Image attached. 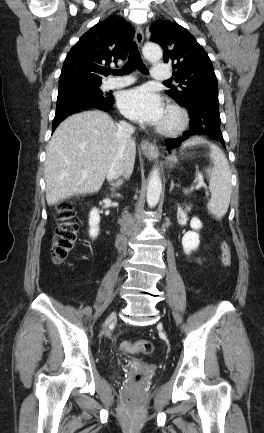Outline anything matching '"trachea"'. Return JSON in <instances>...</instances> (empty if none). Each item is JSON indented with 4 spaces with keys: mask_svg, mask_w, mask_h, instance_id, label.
Listing matches in <instances>:
<instances>
[{
    "mask_svg": "<svg viewBox=\"0 0 264 433\" xmlns=\"http://www.w3.org/2000/svg\"><path fill=\"white\" fill-rule=\"evenodd\" d=\"M134 69H138L143 74H148L146 66L143 64L139 50L135 43H132L129 52V58L127 63L120 70H111L110 73L113 75H127ZM170 83L171 81H164Z\"/></svg>",
    "mask_w": 264,
    "mask_h": 433,
    "instance_id": "trachea-1",
    "label": "trachea"
}]
</instances>
